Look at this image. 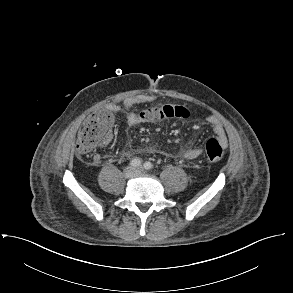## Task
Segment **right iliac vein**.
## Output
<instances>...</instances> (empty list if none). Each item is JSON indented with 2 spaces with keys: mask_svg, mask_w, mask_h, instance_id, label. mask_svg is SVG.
<instances>
[{
  "mask_svg": "<svg viewBox=\"0 0 293 293\" xmlns=\"http://www.w3.org/2000/svg\"><path fill=\"white\" fill-rule=\"evenodd\" d=\"M136 173H137V170L132 166H128L124 169V176L126 178H131V177L135 176Z\"/></svg>",
  "mask_w": 293,
  "mask_h": 293,
  "instance_id": "right-iliac-vein-1",
  "label": "right iliac vein"
}]
</instances>
